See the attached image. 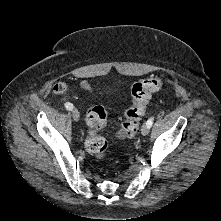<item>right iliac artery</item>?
<instances>
[{
	"instance_id": "right-iliac-artery-1",
	"label": "right iliac artery",
	"mask_w": 221,
	"mask_h": 221,
	"mask_svg": "<svg viewBox=\"0 0 221 221\" xmlns=\"http://www.w3.org/2000/svg\"><path fill=\"white\" fill-rule=\"evenodd\" d=\"M65 108L69 111H71L73 109V105L69 102L65 103Z\"/></svg>"
}]
</instances>
